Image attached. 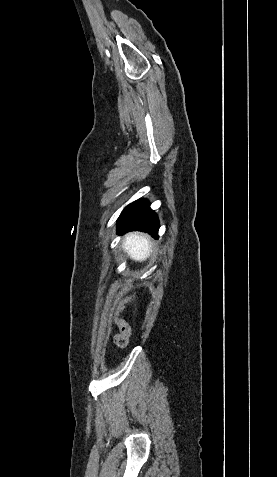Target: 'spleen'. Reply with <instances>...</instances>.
I'll return each instance as SVG.
<instances>
[{"mask_svg": "<svg viewBox=\"0 0 277 477\" xmlns=\"http://www.w3.org/2000/svg\"><path fill=\"white\" fill-rule=\"evenodd\" d=\"M122 247L131 259L139 262L145 261L152 252L149 239L139 234L127 235Z\"/></svg>", "mask_w": 277, "mask_h": 477, "instance_id": "spleen-1", "label": "spleen"}]
</instances>
